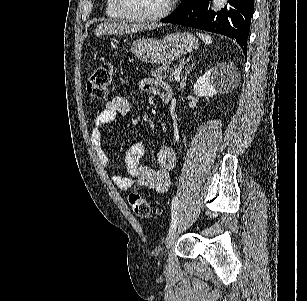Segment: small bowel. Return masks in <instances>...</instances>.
<instances>
[{
    "label": "small bowel",
    "instance_id": "obj_1",
    "mask_svg": "<svg viewBox=\"0 0 307 301\" xmlns=\"http://www.w3.org/2000/svg\"><path fill=\"white\" fill-rule=\"evenodd\" d=\"M140 88L145 93L159 97H162L166 93H170L168 85L153 79L142 80ZM129 111V100L124 96H116L105 105L94 120L90 141L100 163L104 167H107L109 164L108 156L102 146L104 128L118 117L127 115ZM143 153L144 144L142 142H136L129 147L125 157L128 175L113 176L114 184L121 190H127L132 185L137 184L160 193L166 192L170 187L169 171L176 163L174 150L170 147H162L159 150L157 156L159 169L157 170L140 164Z\"/></svg>",
    "mask_w": 307,
    "mask_h": 301
}]
</instances>
